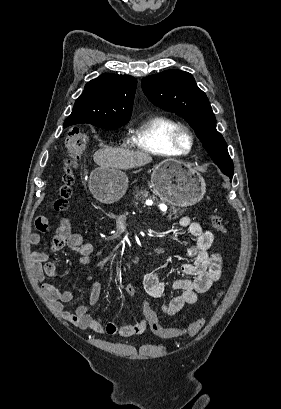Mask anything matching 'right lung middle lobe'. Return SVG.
I'll list each match as a JSON object with an SVG mask.
<instances>
[{"label": "right lung middle lobe", "instance_id": "1", "mask_svg": "<svg viewBox=\"0 0 281 409\" xmlns=\"http://www.w3.org/2000/svg\"><path fill=\"white\" fill-rule=\"evenodd\" d=\"M127 123H120V124H96L95 126L103 128V129H117L126 125Z\"/></svg>", "mask_w": 281, "mask_h": 409}]
</instances>
